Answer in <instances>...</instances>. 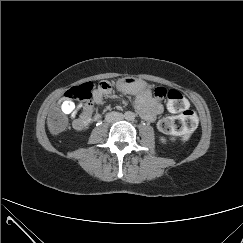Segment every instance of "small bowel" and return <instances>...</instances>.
<instances>
[{
  "instance_id": "obj_1",
  "label": "small bowel",
  "mask_w": 243,
  "mask_h": 243,
  "mask_svg": "<svg viewBox=\"0 0 243 243\" xmlns=\"http://www.w3.org/2000/svg\"><path fill=\"white\" fill-rule=\"evenodd\" d=\"M110 91V90H109ZM109 91L104 92L100 89L94 91L93 102L100 103L102 98L105 94L109 93ZM61 105L62 112L67 115H71L73 119V126H75V122L78 118H75V114L82 108L84 113L88 115L91 114L93 110V103L89 102L84 105H75L70 100H61L59 102ZM135 108L142 119L148 122H153L157 115L163 112V104L161 99L155 98L151 95L150 90L144 89L140 91L135 99ZM85 127V126H84ZM83 127V128H84ZM83 128H76V129H83Z\"/></svg>"
}]
</instances>
